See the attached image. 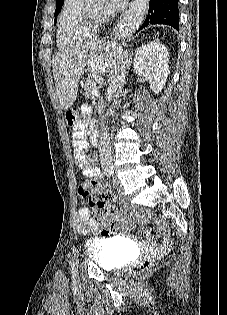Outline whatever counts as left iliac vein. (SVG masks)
I'll use <instances>...</instances> for the list:
<instances>
[{
  "instance_id": "4c4485c4",
  "label": "left iliac vein",
  "mask_w": 227,
  "mask_h": 315,
  "mask_svg": "<svg viewBox=\"0 0 227 315\" xmlns=\"http://www.w3.org/2000/svg\"><path fill=\"white\" fill-rule=\"evenodd\" d=\"M113 185H114V187L115 188H119L121 185H120V181H119V179L118 178H114L113 179Z\"/></svg>"
}]
</instances>
